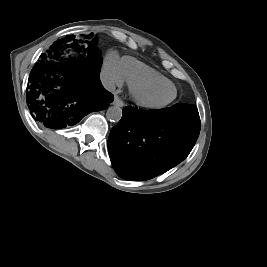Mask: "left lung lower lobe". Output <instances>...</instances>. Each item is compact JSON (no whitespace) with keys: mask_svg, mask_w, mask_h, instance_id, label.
I'll return each mask as SVG.
<instances>
[{"mask_svg":"<svg viewBox=\"0 0 267 267\" xmlns=\"http://www.w3.org/2000/svg\"><path fill=\"white\" fill-rule=\"evenodd\" d=\"M200 125L193 105L180 103L149 111L124 107L108 138L116 173L129 181H141L168 171L188 156Z\"/></svg>","mask_w":267,"mask_h":267,"instance_id":"1","label":"left lung lower lobe"}]
</instances>
